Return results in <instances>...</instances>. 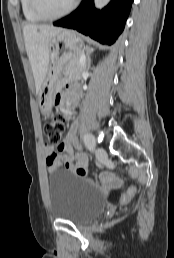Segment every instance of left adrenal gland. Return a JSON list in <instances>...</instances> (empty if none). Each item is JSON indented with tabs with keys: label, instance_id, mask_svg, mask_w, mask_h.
Wrapping results in <instances>:
<instances>
[{
	"label": "left adrenal gland",
	"instance_id": "obj_1",
	"mask_svg": "<svg viewBox=\"0 0 174 258\" xmlns=\"http://www.w3.org/2000/svg\"><path fill=\"white\" fill-rule=\"evenodd\" d=\"M94 49L90 48V47H86L85 48V51H86V56H87V67L89 68L90 67V64H91V58H90V55L91 53L93 52Z\"/></svg>",
	"mask_w": 174,
	"mask_h": 258
}]
</instances>
